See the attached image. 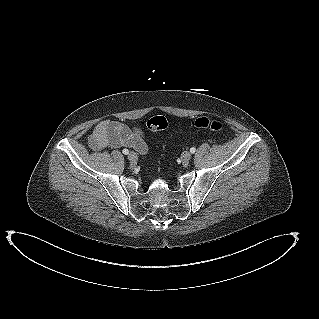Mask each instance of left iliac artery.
Listing matches in <instances>:
<instances>
[{"label": "left iliac artery", "mask_w": 319, "mask_h": 319, "mask_svg": "<svg viewBox=\"0 0 319 319\" xmlns=\"http://www.w3.org/2000/svg\"><path fill=\"white\" fill-rule=\"evenodd\" d=\"M195 151H196V148H195V147H192V148L190 149V152H191V153H195Z\"/></svg>", "instance_id": "obj_1"}]
</instances>
